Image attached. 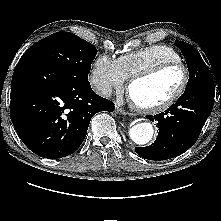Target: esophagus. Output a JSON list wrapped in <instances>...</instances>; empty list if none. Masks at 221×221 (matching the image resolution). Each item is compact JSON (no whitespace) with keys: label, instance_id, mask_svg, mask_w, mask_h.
Instances as JSON below:
<instances>
[{"label":"esophagus","instance_id":"obj_1","mask_svg":"<svg viewBox=\"0 0 221 221\" xmlns=\"http://www.w3.org/2000/svg\"><path fill=\"white\" fill-rule=\"evenodd\" d=\"M116 113L117 114H122V115H127L129 114L126 110H124L119 104L116 105Z\"/></svg>","mask_w":221,"mask_h":221}]
</instances>
